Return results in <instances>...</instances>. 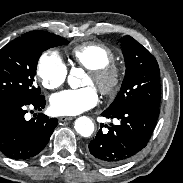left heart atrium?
Segmentation results:
<instances>
[{
  "label": "left heart atrium",
  "mask_w": 183,
  "mask_h": 183,
  "mask_svg": "<svg viewBox=\"0 0 183 183\" xmlns=\"http://www.w3.org/2000/svg\"><path fill=\"white\" fill-rule=\"evenodd\" d=\"M98 94L93 86L67 89L51 97V109L57 115H77L98 103Z\"/></svg>",
  "instance_id": "1"
}]
</instances>
